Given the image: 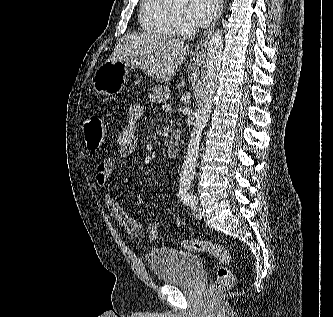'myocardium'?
Masks as SVG:
<instances>
[{
  "mask_svg": "<svg viewBox=\"0 0 333 317\" xmlns=\"http://www.w3.org/2000/svg\"><path fill=\"white\" fill-rule=\"evenodd\" d=\"M170 12L172 13V15H173L175 18H179V15L176 14L173 10H170Z\"/></svg>",
  "mask_w": 333,
  "mask_h": 317,
  "instance_id": "myocardium-1",
  "label": "myocardium"
}]
</instances>
